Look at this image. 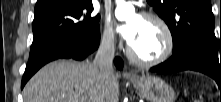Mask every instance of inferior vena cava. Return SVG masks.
I'll return each mask as SVG.
<instances>
[{"label":"inferior vena cava","instance_id":"obj_1","mask_svg":"<svg viewBox=\"0 0 221 102\" xmlns=\"http://www.w3.org/2000/svg\"><path fill=\"white\" fill-rule=\"evenodd\" d=\"M114 54V34L110 33L102 38L93 63L101 69L112 70Z\"/></svg>","mask_w":221,"mask_h":102}]
</instances>
